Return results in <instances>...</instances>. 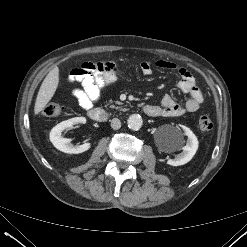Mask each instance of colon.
I'll list each match as a JSON object with an SVG mask.
<instances>
[{"label": "colon", "instance_id": "1", "mask_svg": "<svg viewBox=\"0 0 247 247\" xmlns=\"http://www.w3.org/2000/svg\"><path fill=\"white\" fill-rule=\"evenodd\" d=\"M62 112V107L57 103H48L42 110V114L46 117H54ZM197 127L201 132H208L212 129L213 123L211 118L202 114L198 117Z\"/></svg>", "mask_w": 247, "mask_h": 247}]
</instances>
